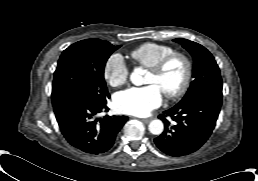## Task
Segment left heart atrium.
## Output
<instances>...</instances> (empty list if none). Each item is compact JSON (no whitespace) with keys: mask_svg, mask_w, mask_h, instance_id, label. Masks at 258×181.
Wrapping results in <instances>:
<instances>
[{"mask_svg":"<svg viewBox=\"0 0 258 181\" xmlns=\"http://www.w3.org/2000/svg\"><path fill=\"white\" fill-rule=\"evenodd\" d=\"M162 103V90L155 84L132 87L117 93L116 109L124 114L146 116Z\"/></svg>","mask_w":258,"mask_h":181,"instance_id":"left-heart-atrium-1","label":"left heart atrium"}]
</instances>
